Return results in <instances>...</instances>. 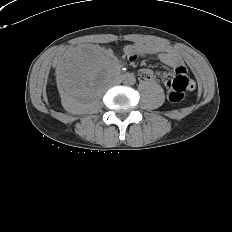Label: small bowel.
Here are the masks:
<instances>
[{
  "instance_id": "small-bowel-1",
  "label": "small bowel",
  "mask_w": 232,
  "mask_h": 232,
  "mask_svg": "<svg viewBox=\"0 0 232 232\" xmlns=\"http://www.w3.org/2000/svg\"><path fill=\"white\" fill-rule=\"evenodd\" d=\"M125 52L130 56L131 61H134L137 55L156 56L157 59L161 61L163 64L173 67L175 69L176 74H182L187 76L186 66L178 51L165 44L154 43L149 41L136 42L134 44L126 46ZM139 75L146 80L153 79L152 71L146 68L140 69ZM189 82L191 84L189 89H194V81L189 79Z\"/></svg>"
}]
</instances>
